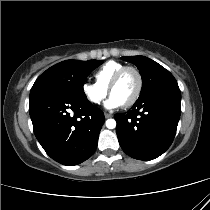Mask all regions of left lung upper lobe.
Returning <instances> with one entry per match:
<instances>
[{
    "instance_id": "left-lung-upper-lobe-1",
    "label": "left lung upper lobe",
    "mask_w": 210,
    "mask_h": 210,
    "mask_svg": "<svg viewBox=\"0 0 210 210\" xmlns=\"http://www.w3.org/2000/svg\"><path fill=\"white\" fill-rule=\"evenodd\" d=\"M121 58L135 64L140 71L143 85L139 98L160 87L177 84L173 75L152 59L144 56Z\"/></svg>"
}]
</instances>
